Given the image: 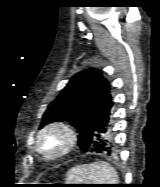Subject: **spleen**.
<instances>
[{
    "instance_id": "3e777b00",
    "label": "spleen",
    "mask_w": 160,
    "mask_h": 187,
    "mask_svg": "<svg viewBox=\"0 0 160 187\" xmlns=\"http://www.w3.org/2000/svg\"><path fill=\"white\" fill-rule=\"evenodd\" d=\"M68 184H116L117 173L107 162L75 166L67 174Z\"/></svg>"
}]
</instances>
